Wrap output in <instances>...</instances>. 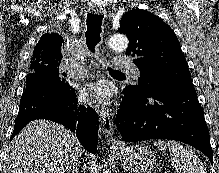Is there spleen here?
Here are the masks:
<instances>
[{"label":"spleen","mask_w":219,"mask_h":173,"mask_svg":"<svg viewBox=\"0 0 219 173\" xmlns=\"http://www.w3.org/2000/svg\"><path fill=\"white\" fill-rule=\"evenodd\" d=\"M154 145L161 151L170 150L172 166L177 173H207L204 165L189 147H184L176 141H154Z\"/></svg>","instance_id":"1"}]
</instances>
